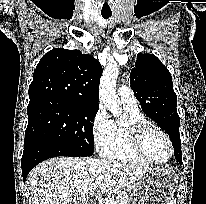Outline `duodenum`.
I'll use <instances>...</instances> for the list:
<instances>
[{
  "instance_id": "1",
  "label": "duodenum",
  "mask_w": 206,
  "mask_h": 204,
  "mask_svg": "<svg viewBox=\"0 0 206 204\" xmlns=\"http://www.w3.org/2000/svg\"><path fill=\"white\" fill-rule=\"evenodd\" d=\"M89 204H98L97 201H92Z\"/></svg>"
}]
</instances>
